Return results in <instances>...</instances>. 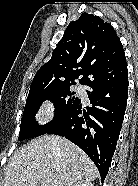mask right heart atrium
Here are the masks:
<instances>
[{
  "instance_id": "1",
  "label": "right heart atrium",
  "mask_w": 138,
  "mask_h": 186,
  "mask_svg": "<svg viewBox=\"0 0 138 186\" xmlns=\"http://www.w3.org/2000/svg\"><path fill=\"white\" fill-rule=\"evenodd\" d=\"M54 116V105L51 101L45 102L38 111V118L41 122H47Z\"/></svg>"
}]
</instances>
